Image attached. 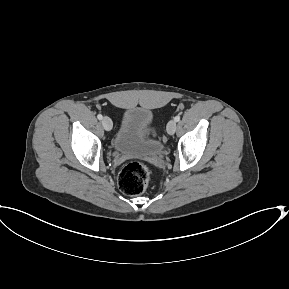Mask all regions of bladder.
<instances>
[{
    "mask_svg": "<svg viewBox=\"0 0 289 289\" xmlns=\"http://www.w3.org/2000/svg\"><path fill=\"white\" fill-rule=\"evenodd\" d=\"M152 113L142 107L124 111L112 139L115 151L138 157H156L162 154V142L151 134Z\"/></svg>",
    "mask_w": 289,
    "mask_h": 289,
    "instance_id": "bladder-1",
    "label": "bladder"
}]
</instances>
